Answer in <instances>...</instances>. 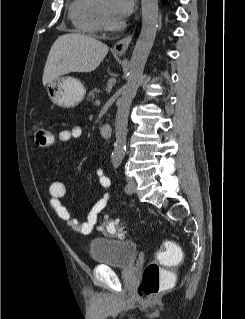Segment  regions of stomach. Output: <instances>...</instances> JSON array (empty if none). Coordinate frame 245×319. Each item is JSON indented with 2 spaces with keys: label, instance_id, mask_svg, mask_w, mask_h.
I'll return each instance as SVG.
<instances>
[{
  "label": "stomach",
  "instance_id": "1",
  "mask_svg": "<svg viewBox=\"0 0 245 319\" xmlns=\"http://www.w3.org/2000/svg\"><path fill=\"white\" fill-rule=\"evenodd\" d=\"M50 100L57 106L73 108L83 100L86 89L83 83L71 76L59 77L47 84Z\"/></svg>",
  "mask_w": 245,
  "mask_h": 319
}]
</instances>
